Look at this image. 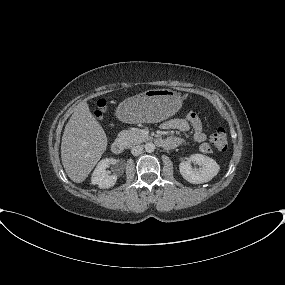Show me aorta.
Here are the masks:
<instances>
[{
  "instance_id": "aorta-1",
  "label": "aorta",
  "mask_w": 285,
  "mask_h": 285,
  "mask_svg": "<svg viewBox=\"0 0 285 285\" xmlns=\"http://www.w3.org/2000/svg\"><path fill=\"white\" fill-rule=\"evenodd\" d=\"M144 148H145V151H146L147 153H152V152H154V150H155V145H154V143H152V142H147V143L144 145Z\"/></svg>"
}]
</instances>
